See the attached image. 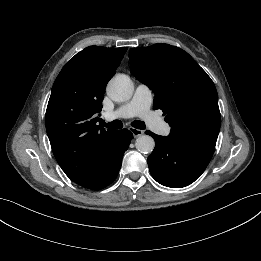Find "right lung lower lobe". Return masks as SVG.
<instances>
[{
	"mask_svg": "<svg viewBox=\"0 0 261 261\" xmlns=\"http://www.w3.org/2000/svg\"><path fill=\"white\" fill-rule=\"evenodd\" d=\"M132 137V133L127 129L117 131L97 165L74 182L92 190H100L112 183L119 173L123 154Z\"/></svg>",
	"mask_w": 261,
	"mask_h": 261,
	"instance_id": "right-lung-lower-lobe-1",
	"label": "right lung lower lobe"
}]
</instances>
